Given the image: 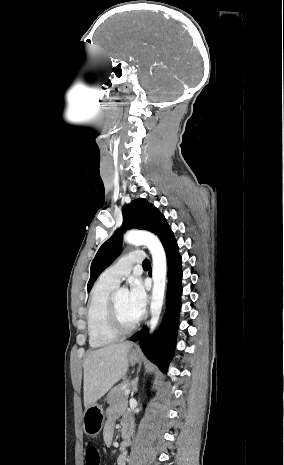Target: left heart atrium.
<instances>
[{
	"label": "left heart atrium",
	"mask_w": 284,
	"mask_h": 465,
	"mask_svg": "<svg viewBox=\"0 0 284 465\" xmlns=\"http://www.w3.org/2000/svg\"><path fill=\"white\" fill-rule=\"evenodd\" d=\"M146 301V292L142 282L138 279H132L130 281L128 303L133 312L136 313L139 317L145 309Z\"/></svg>",
	"instance_id": "39dd6f15"
}]
</instances>
